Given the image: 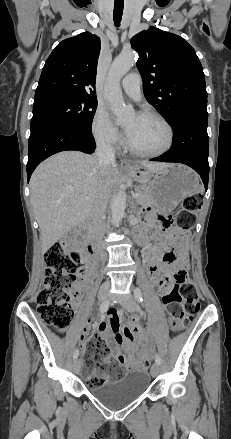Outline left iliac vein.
Wrapping results in <instances>:
<instances>
[{
    "mask_svg": "<svg viewBox=\"0 0 231 439\" xmlns=\"http://www.w3.org/2000/svg\"><path fill=\"white\" fill-rule=\"evenodd\" d=\"M122 306L128 311V312H135L136 311V300L134 297L130 296L128 297L123 303ZM160 372V366L158 363H154L151 367V375L152 377H156Z\"/></svg>",
    "mask_w": 231,
    "mask_h": 439,
    "instance_id": "1",
    "label": "left iliac vein"
}]
</instances>
